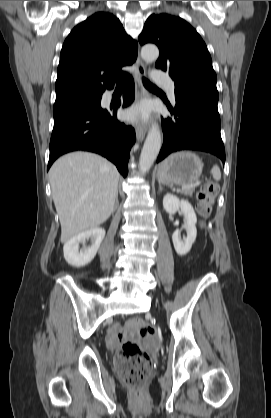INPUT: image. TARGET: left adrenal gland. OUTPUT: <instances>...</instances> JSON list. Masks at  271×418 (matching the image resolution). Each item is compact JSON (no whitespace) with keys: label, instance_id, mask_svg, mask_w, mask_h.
I'll list each match as a JSON object with an SVG mask.
<instances>
[{"label":"left adrenal gland","instance_id":"obj_1","mask_svg":"<svg viewBox=\"0 0 271 418\" xmlns=\"http://www.w3.org/2000/svg\"><path fill=\"white\" fill-rule=\"evenodd\" d=\"M163 188L161 185H159V193L162 192Z\"/></svg>","mask_w":271,"mask_h":418}]
</instances>
